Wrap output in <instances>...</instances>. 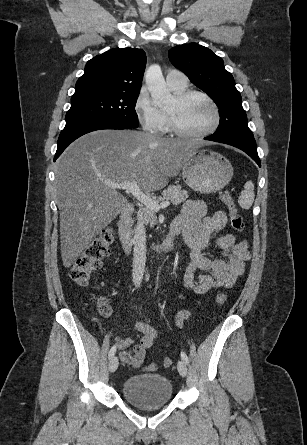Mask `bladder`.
Returning <instances> with one entry per match:
<instances>
[{
    "instance_id": "31cf9c89",
    "label": "bladder",
    "mask_w": 307,
    "mask_h": 445,
    "mask_svg": "<svg viewBox=\"0 0 307 445\" xmlns=\"http://www.w3.org/2000/svg\"><path fill=\"white\" fill-rule=\"evenodd\" d=\"M172 394L170 380L158 373L133 375L122 384V395L126 401L141 410L165 407L170 403Z\"/></svg>"
}]
</instances>
